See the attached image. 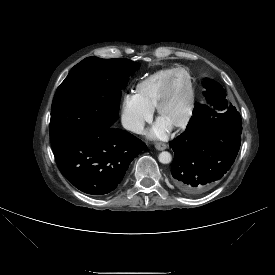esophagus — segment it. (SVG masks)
<instances>
[{"instance_id": "34e87169", "label": "esophagus", "mask_w": 275, "mask_h": 275, "mask_svg": "<svg viewBox=\"0 0 275 275\" xmlns=\"http://www.w3.org/2000/svg\"><path fill=\"white\" fill-rule=\"evenodd\" d=\"M155 148H156L157 150H165V149L167 148V145L164 144V143H156V144H155Z\"/></svg>"}]
</instances>
